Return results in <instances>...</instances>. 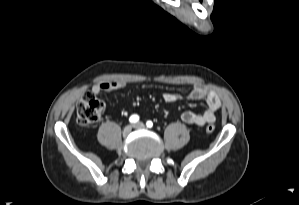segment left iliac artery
<instances>
[{
    "mask_svg": "<svg viewBox=\"0 0 299 205\" xmlns=\"http://www.w3.org/2000/svg\"><path fill=\"white\" fill-rule=\"evenodd\" d=\"M146 125L148 128H151L153 126V122L149 120L146 122Z\"/></svg>",
    "mask_w": 299,
    "mask_h": 205,
    "instance_id": "left-iliac-artery-1",
    "label": "left iliac artery"
}]
</instances>
